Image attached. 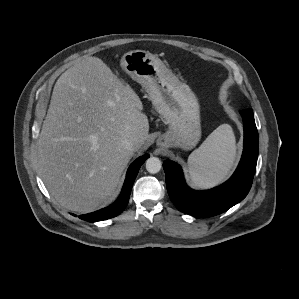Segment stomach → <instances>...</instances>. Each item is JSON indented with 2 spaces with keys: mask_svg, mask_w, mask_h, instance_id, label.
<instances>
[{
  "mask_svg": "<svg viewBox=\"0 0 299 299\" xmlns=\"http://www.w3.org/2000/svg\"><path fill=\"white\" fill-rule=\"evenodd\" d=\"M121 67L142 85L157 112L169 124L157 144L162 148H193L201 137L200 107L189 86L148 51L127 52L121 58Z\"/></svg>",
  "mask_w": 299,
  "mask_h": 299,
  "instance_id": "0dacf381",
  "label": "stomach"
}]
</instances>
